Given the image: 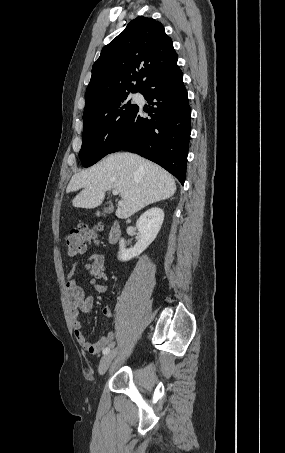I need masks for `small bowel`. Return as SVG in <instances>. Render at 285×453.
Masks as SVG:
<instances>
[{
    "label": "small bowel",
    "instance_id": "1",
    "mask_svg": "<svg viewBox=\"0 0 285 453\" xmlns=\"http://www.w3.org/2000/svg\"><path fill=\"white\" fill-rule=\"evenodd\" d=\"M80 263H76L69 271L67 277V289L70 296V314L72 318V326L77 343L85 351L90 354H98L108 345L113 343L115 332L109 328L101 335L98 341L92 343L88 341L83 333V326L80 320V312L89 315L94 307V297L91 294H86L78 285L75 275ZM83 266L92 275L90 281L94 291L98 294H104L107 291V286L104 282L107 280L105 272V257L101 253H93L89 255L83 262ZM102 315L106 320L112 317V310L106 306L102 309Z\"/></svg>",
    "mask_w": 285,
    "mask_h": 453
}]
</instances>
